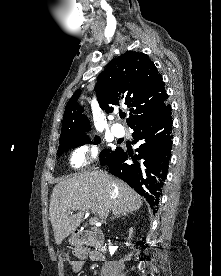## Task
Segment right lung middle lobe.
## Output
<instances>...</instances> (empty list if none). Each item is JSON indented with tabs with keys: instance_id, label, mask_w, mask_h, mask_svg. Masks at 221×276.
Masks as SVG:
<instances>
[{
	"instance_id": "obj_1",
	"label": "right lung middle lobe",
	"mask_w": 221,
	"mask_h": 276,
	"mask_svg": "<svg viewBox=\"0 0 221 276\" xmlns=\"http://www.w3.org/2000/svg\"><path fill=\"white\" fill-rule=\"evenodd\" d=\"M100 141H101L100 138L96 136L94 139V143L98 144V143H100ZM86 143H91V140L89 139V137L87 135L78 137V138H74V139H69L66 141H61L59 148H58L57 155H60L61 153L65 152L71 148L79 147ZM119 150H120L119 147H117L116 149L102 150L100 153L101 164L103 165L106 162H108Z\"/></svg>"
}]
</instances>
